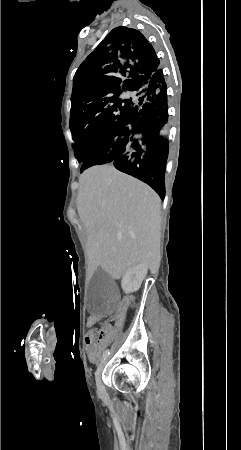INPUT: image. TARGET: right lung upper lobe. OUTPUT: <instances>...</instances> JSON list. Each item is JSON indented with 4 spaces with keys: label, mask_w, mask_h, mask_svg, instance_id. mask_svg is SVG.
<instances>
[{
    "label": "right lung upper lobe",
    "mask_w": 241,
    "mask_h": 450,
    "mask_svg": "<svg viewBox=\"0 0 241 450\" xmlns=\"http://www.w3.org/2000/svg\"><path fill=\"white\" fill-rule=\"evenodd\" d=\"M160 61L153 46L137 30L113 29L87 57L74 78L101 85H111L124 94L142 97L144 77L159 69Z\"/></svg>",
    "instance_id": "cb5924a9"
}]
</instances>
